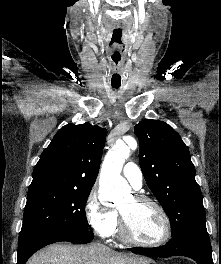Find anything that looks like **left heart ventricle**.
Wrapping results in <instances>:
<instances>
[{"label":"left heart ventricle","mask_w":221,"mask_h":264,"mask_svg":"<svg viewBox=\"0 0 221 264\" xmlns=\"http://www.w3.org/2000/svg\"><path fill=\"white\" fill-rule=\"evenodd\" d=\"M119 211L129 224L134 237L143 242H156L164 234V222L158 210L151 204L128 198Z\"/></svg>","instance_id":"left-heart-ventricle-1"}]
</instances>
